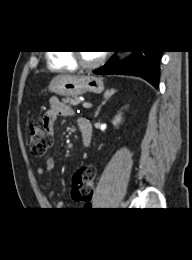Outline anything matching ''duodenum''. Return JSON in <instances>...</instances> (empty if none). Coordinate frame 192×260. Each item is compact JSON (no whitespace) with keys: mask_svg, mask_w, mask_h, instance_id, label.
I'll return each instance as SVG.
<instances>
[{"mask_svg":"<svg viewBox=\"0 0 192 260\" xmlns=\"http://www.w3.org/2000/svg\"><path fill=\"white\" fill-rule=\"evenodd\" d=\"M78 125L81 131L82 142L84 146H89L92 139V124L89 120L80 118Z\"/></svg>","mask_w":192,"mask_h":260,"instance_id":"1","label":"duodenum"}]
</instances>
